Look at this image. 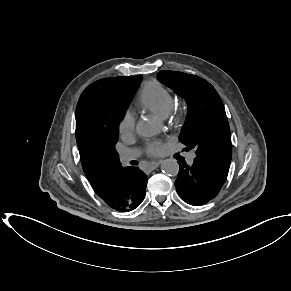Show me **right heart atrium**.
Listing matches in <instances>:
<instances>
[{"label":"right heart atrium","instance_id":"obj_1","mask_svg":"<svg viewBox=\"0 0 291 291\" xmlns=\"http://www.w3.org/2000/svg\"><path fill=\"white\" fill-rule=\"evenodd\" d=\"M135 130V117L126 112L119 122V133L122 137L126 138L133 134Z\"/></svg>","mask_w":291,"mask_h":291}]
</instances>
